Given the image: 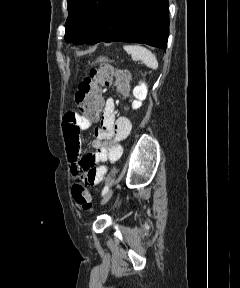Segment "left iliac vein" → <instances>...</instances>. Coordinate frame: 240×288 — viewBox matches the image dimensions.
Returning <instances> with one entry per match:
<instances>
[{"label":"left iliac vein","instance_id":"4c4485c4","mask_svg":"<svg viewBox=\"0 0 240 288\" xmlns=\"http://www.w3.org/2000/svg\"><path fill=\"white\" fill-rule=\"evenodd\" d=\"M112 194H113V190L112 189L108 190L101 201V205L106 204L110 200Z\"/></svg>","mask_w":240,"mask_h":288}]
</instances>
